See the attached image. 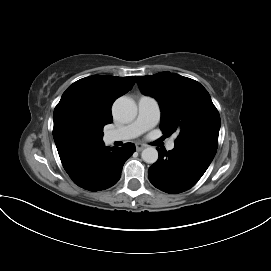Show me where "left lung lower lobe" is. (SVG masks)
<instances>
[{"label":"left lung lower lobe","instance_id":"left-lung-lower-lobe-1","mask_svg":"<svg viewBox=\"0 0 271 271\" xmlns=\"http://www.w3.org/2000/svg\"><path fill=\"white\" fill-rule=\"evenodd\" d=\"M159 159L149 168L150 182L158 189L178 194L194 186L212 162L216 150L193 143H175L173 150L157 148Z\"/></svg>","mask_w":271,"mask_h":271}]
</instances>
